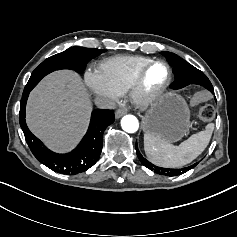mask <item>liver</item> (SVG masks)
<instances>
[{
  "label": "liver",
  "mask_w": 237,
  "mask_h": 237,
  "mask_svg": "<svg viewBox=\"0 0 237 237\" xmlns=\"http://www.w3.org/2000/svg\"><path fill=\"white\" fill-rule=\"evenodd\" d=\"M91 102L81 79L62 71L47 76L31 93L27 123L56 151H67L84 132Z\"/></svg>",
  "instance_id": "6515ba94"
}]
</instances>
